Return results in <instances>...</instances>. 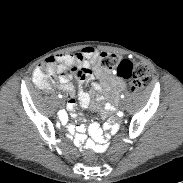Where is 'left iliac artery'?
I'll list each match as a JSON object with an SVG mask.
<instances>
[{
    "label": "left iliac artery",
    "mask_w": 183,
    "mask_h": 183,
    "mask_svg": "<svg viewBox=\"0 0 183 183\" xmlns=\"http://www.w3.org/2000/svg\"><path fill=\"white\" fill-rule=\"evenodd\" d=\"M124 97H125V96L122 94V95H121V98L124 99Z\"/></svg>",
    "instance_id": "obj_1"
}]
</instances>
